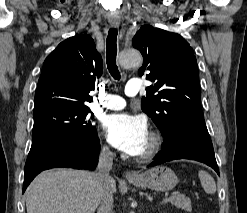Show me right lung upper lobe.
Masks as SVG:
<instances>
[{
	"instance_id": "cb5924a9",
	"label": "right lung upper lobe",
	"mask_w": 247,
	"mask_h": 213,
	"mask_svg": "<svg viewBox=\"0 0 247 213\" xmlns=\"http://www.w3.org/2000/svg\"><path fill=\"white\" fill-rule=\"evenodd\" d=\"M102 71L101 55L89 35L66 39L44 61L34 111L55 104L87 107L93 100L88 93Z\"/></svg>"
}]
</instances>
